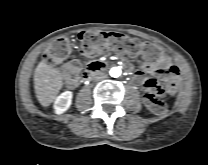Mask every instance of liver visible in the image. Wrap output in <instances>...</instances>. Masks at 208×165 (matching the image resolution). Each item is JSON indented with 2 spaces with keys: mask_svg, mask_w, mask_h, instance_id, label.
Returning <instances> with one entry per match:
<instances>
[{
  "mask_svg": "<svg viewBox=\"0 0 208 165\" xmlns=\"http://www.w3.org/2000/svg\"><path fill=\"white\" fill-rule=\"evenodd\" d=\"M63 86L62 75L56 68L41 61L34 73L36 97L43 107H48L56 98Z\"/></svg>",
  "mask_w": 208,
  "mask_h": 165,
  "instance_id": "liver-1",
  "label": "liver"
}]
</instances>
